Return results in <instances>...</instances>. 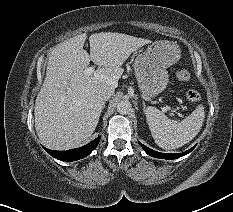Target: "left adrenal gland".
I'll return each instance as SVG.
<instances>
[{
    "instance_id": "a2214340",
    "label": "left adrenal gland",
    "mask_w": 233,
    "mask_h": 212,
    "mask_svg": "<svg viewBox=\"0 0 233 212\" xmlns=\"http://www.w3.org/2000/svg\"><path fill=\"white\" fill-rule=\"evenodd\" d=\"M145 107H146V106H145V102L143 101V108H144V110H145Z\"/></svg>"
}]
</instances>
